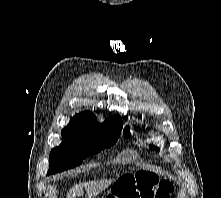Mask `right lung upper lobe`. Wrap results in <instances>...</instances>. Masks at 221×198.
Here are the masks:
<instances>
[{
	"instance_id": "1",
	"label": "right lung upper lobe",
	"mask_w": 221,
	"mask_h": 198,
	"mask_svg": "<svg viewBox=\"0 0 221 198\" xmlns=\"http://www.w3.org/2000/svg\"><path fill=\"white\" fill-rule=\"evenodd\" d=\"M122 121L120 116L115 115L107 118L102 124L96 123L92 112L85 111L77 114L62 130V136L84 137L99 131L121 132Z\"/></svg>"
}]
</instances>
